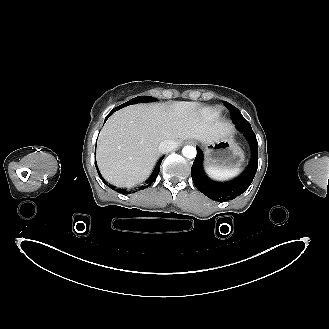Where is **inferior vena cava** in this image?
<instances>
[{
  "label": "inferior vena cava",
  "mask_w": 329,
  "mask_h": 329,
  "mask_svg": "<svg viewBox=\"0 0 329 329\" xmlns=\"http://www.w3.org/2000/svg\"><path fill=\"white\" fill-rule=\"evenodd\" d=\"M177 147V143L174 140H164L159 144V151L166 153L174 150Z\"/></svg>",
  "instance_id": "obj_1"
}]
</instances>
